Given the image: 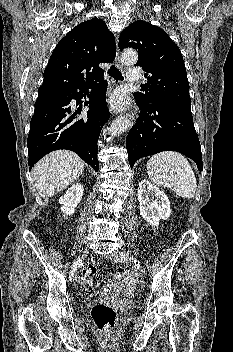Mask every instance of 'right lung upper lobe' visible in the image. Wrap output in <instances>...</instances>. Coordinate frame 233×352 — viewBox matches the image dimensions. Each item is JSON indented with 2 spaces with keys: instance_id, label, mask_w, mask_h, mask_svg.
I'll return each mask as SVG.
<instances>
[{
  "instance_id": "1",
  "label": "right lung upper lobe",
  "mask_w": 233,
  "mask_h": 352,
  "mask_svg": "<svg viewBox=\"0 0 233 352\" xmlns=\"http://www.w3.org/2000/svg\"><path fill=\"white\" fill-rule=\"evenodd\" d=\"M116 44L106 23L98 18L77 25L60 40L44 71L40 88L61 87L68 90L102 77L99 63H111Z\"/></svg>"
}]
</instances>
